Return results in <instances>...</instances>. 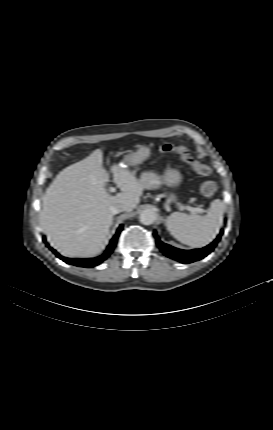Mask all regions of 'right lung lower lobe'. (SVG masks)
I'll use <instances>...</instances> for the list:
<instances>
[{
  "instance_id": "obj_1",
  "label": "right lung lower lobe",
  "mask_w": 273,
  "mask_h": 430,
  "mask_svg": "<svg viewBox=\"0 0 273 430\" xmlns=\"http://www.w3.org/2000/svg\"><path fill=\"white\" fill-rule=\"evenodd\" d=\"M122 229H123V225H120L116 231V234L114 235V237L111 239L109 245L107 246L104 254L99 256V257H96V258H85V259L66 258V257L61 256L59 253H57L52 248H50V249L55 253V255L58 258H60L61 260H63L67 264H72L75 266L87 267V268L94 267V266L100 264L101 262H103L105 259H107L110 256V254L113 252V250L116 246V243H117V239H118ZM44 241H45V239H44ZM47 246H48V244H47Z\"/></svg>"
}]
</instances>
